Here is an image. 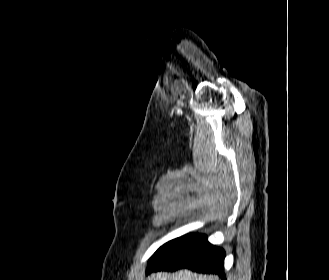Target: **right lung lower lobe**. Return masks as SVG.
<instances>
[{"instance_id": "right-lung-lower-lobe-1", "label": "right lung lower lobe", "mask_w": 329, "mask_h": 280, "mask_svg": "<svg viewBox=\"0 0 329 280\" xmlns=\"http://www.w3.org/2000/svg\"><path fill=\"white\" fill-rule=\"evenodd\" d=\"M224 258V250L211 245L205 235L188 234L177 238L147 273L188 268L201 273H215L226 280L223 272Z\"/></svg>"}]
</instances>
